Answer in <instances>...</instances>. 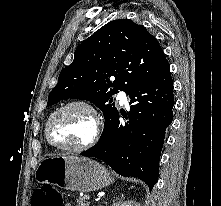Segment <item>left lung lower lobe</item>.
Segmentation results:
<instances>
[{
  "instance_id": "obj_1",
  "label": "left lung lower lobe",
  "mask_w": 221,
  "mask_h": 206,
  "mask_svg": "<svg viewBox=\"0 0 221 206\" xmlns=\"http://www.w3.org/2000/svg\"><path fill=\"white\" fill-rule=\"evenodd\" d=\"M128 95L132 105L124 116L129 124L120 126L118 113L109 132L81 155L103 160L120 175L142 179L151 190L158 180L165 131L173 117L170 68Z\"/></svg>"
}]
</instances>
